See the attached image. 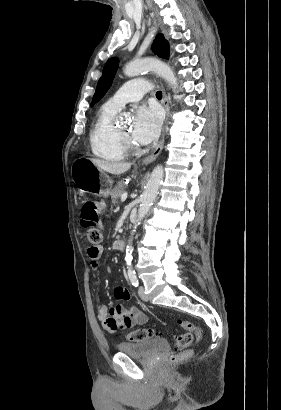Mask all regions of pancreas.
I'll use <instances>...</instances> for the list:
<instances>
[{
    "mask_svg": "<svg viewBox=\"0 0 281 410\" xmlns=\"http://www.w3.org/2000/svg\"><path fill=\"white\" fill-rule=\"evenodd\" d=\"M126 188V184L124 181H120L117 183V185L110 191V195L112 198V203H117V199L121 197V195L124 193Z\"/></svg>",
    "mask_w": 281,
    "mask_h": 410,
    "instance_id": "cf45deb5",
    "label": "pancreas"
}]
</instances>
